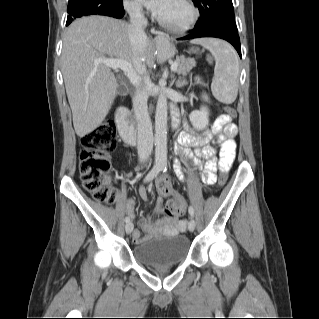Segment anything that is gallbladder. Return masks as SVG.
I'll return each instance as SVG.
<instances>
[{"label": "gallbladder", "instance_id": "bac80fb5", "mask_svg": "<svg viewBox=\"0 0 319 319\" xmlns=\"http://www.w3.org/2000/svg\"><path fill=\"white\" fill-rule=\"evenodd\" d=\"M119 92H122V90H123V87L122 86H119Z\"/></svg>", "mask_w": 319, "mask_h": 319}]
</instances>
